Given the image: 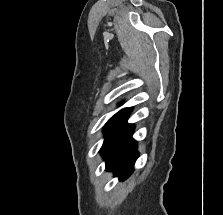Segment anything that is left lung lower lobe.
Masks as SVG:
<instances>
[{"label":"left lung lower lobe","mask_w":223,"mask_h":215,"mask_svg":"<svg viewBox=\"0 0 223 215\" xmlns=\"http://www.w3.org/2000/svg\"><path fill=\"white\" fill-rule=\"evenodd\" d=\"M128 115L111 130L100 151L106 162V170L113 171L120 181L130 176L138 157L137 143L132 139L134 126L127 124Z\"/></svg>","instance_id":"obj_1"}]
</instances>
